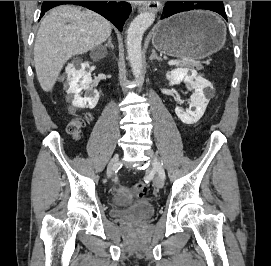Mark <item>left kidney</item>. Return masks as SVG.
<instances>
[{"instance_id":"1","label":"left kidney","mask_w":271,"mask_h":266,"mask_svg":"<svg viewBox=\"0 0 271 266\" xmlns=\"http://www.w3.org/2000/svg\"><path fill=\"white\" fill-rule=\"evenodd\" d=\"M166 78L169 80L170 85H177L184 81L185 83L190 84L194 89V93L189 102V108L183 110L180 107H176L175 113L185 124L198 122L203 116L210 99V96L207 97L205 95L204 89L207 91L213 90L211 83L203 77L198 76L195 70H189L187 68L174 69L166 74Z\"/></svg>"}]
</instances>
